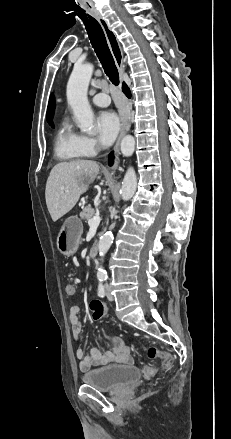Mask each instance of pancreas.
<instances>
[{
	"label": "pancreas",
	"mask_w": 231,
	"mask_h": 439,
	"mask_svg": "<svg viewBox=\"0 0 231 439\" xmlns=\"http://www.w3.org/2000/svg\"><path fill=\"white\" fill-rule=\"evenodd\" d=\"M95 215L94 208L91 207V205L86 206L82 212L80 213V218L82 220H85L86 222L89 221L93 216Z\"/></svg>",
	"instance_id": "pancreas-1"
}]
</instances>
